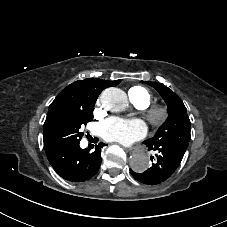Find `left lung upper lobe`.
<instances>
[{
  "mask_svg": "<svg viewBox=\"0 0 227 227\" xmlns=\"http://www.w3.org/2000/svg\"><path fill=\"white\" fill-rule=\"evenodd\" d=\"M154 87L168 105V118L159 127L151 143L166 142L187 148L190 140V120L182 100L168 87L158 82H146Z\"/></svg>",
  "mask_w": 227,
  "mask_h": 227,
  "instance_id": "obj_1",
  "label": "left lung upper lobe"
}]
</instances>
